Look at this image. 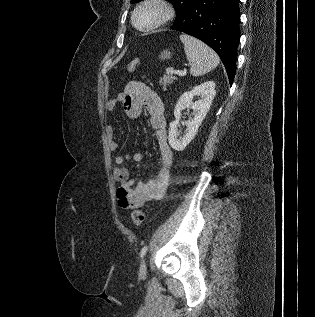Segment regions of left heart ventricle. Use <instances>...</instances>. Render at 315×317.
<instances>
[{
    "mask_svg": "<svg viewBox=\"0 0 315 317\" xmlns=\"http://www.w3.org/2000/svg\"><path fill=\"white\" fill-rule=\"evenodd\" d=\"M158 16V11L154 8H145L137 15V22L141 26L152 23Z\"/></svg>",
    "mask_w": 315,
    "mask_h": 317,
    "instance_id": "b2bd125f",
    "label": "left heart ventricle"
}]
</instances>
